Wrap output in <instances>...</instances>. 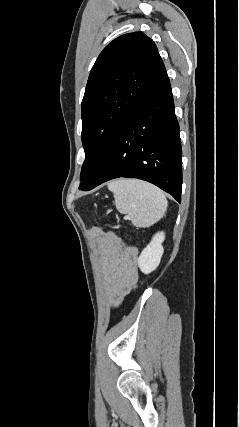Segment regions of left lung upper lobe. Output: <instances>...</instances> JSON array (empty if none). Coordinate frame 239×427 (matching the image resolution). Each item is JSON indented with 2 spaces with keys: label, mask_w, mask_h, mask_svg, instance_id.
<instances>
[{
  "label": "left lung upper lobe",
  "mask_w": 239,
  "mask_h": 427,
  "mask_svg": "<svg viewBox=\"0 0 239 427\" xmlns=\"http://www.w3.org/2000/svg\"><path fill=\"white\" fill-rule=\"evenodd\" d=\"M167 78L156 45L142 32L119 36L103 49L82 100L80 190L92 183L125 122Z\"/></svg>",
  "instance_id": "left-lung-upper-lobe-1"
}]
</instances>
